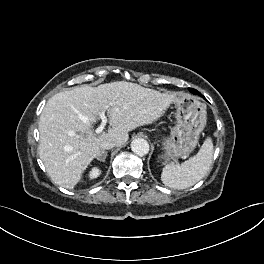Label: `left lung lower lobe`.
<instances>
[{"mask_svg":"<svg viewBox=\"0 0 264 264\" xmlns=\"http://www.w3.org/2000/svg\"><path fill=\"white\" fill-rule=\"evenodd\" d=\"M190 91H191L192 93H194V94H199V92L196 91V90H194V89H190Z\"/></svg>","mask_w":264,"mask_h":264,"instance_id":"0a47b994","label":"left lung lower lobe"}]
</instances>
